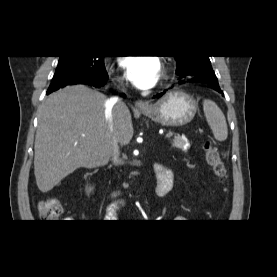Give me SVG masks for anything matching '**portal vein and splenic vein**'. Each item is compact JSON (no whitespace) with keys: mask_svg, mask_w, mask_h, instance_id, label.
<instances>
[{"mask_svg":"<svg viewBox=\"0 0 277 277\" xmlns=\"http://www.w3.org/2000/svg\"><path fill=\"white\" fill-rule=\"evenodd\" d=\"M173 135H174L173 132H168V133L165 135V138H171Z\"/></svg>","mask_w":277,"mask_h":277,"instance_id":"portal-vein-and-splenic-vein-1","label":"portal vein and splenic vein"}]
</instances>
